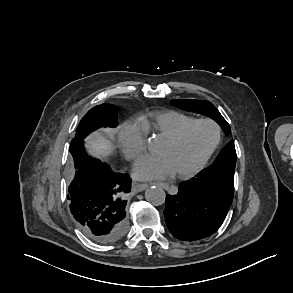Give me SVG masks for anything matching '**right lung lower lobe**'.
Here are the masks:
<instances>
[{
  "label": "right lung lower lobe",
  "mask_w": 293,
  "mask_h": 293,
  "mask_svg": "<svg viewBox=\"0 0 293 293\" xmlns=\"http://www.w3.org/2000/svg\"><path fill=\"white\" fill-rule=\"evenodd\" d=\"M83 144V139L74 138L69 148L75 168L68 188L70 210L88 238L112 244L123 238L128 229L125 194L130 191L131 179L91 158Z\"/></svg>",
  "instance_id": "right-lung-lower-lobe-1"
}]
</instances>
